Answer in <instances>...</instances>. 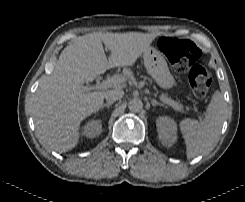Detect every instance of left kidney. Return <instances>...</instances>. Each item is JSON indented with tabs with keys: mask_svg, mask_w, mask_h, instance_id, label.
<instances>
[{
	"mask_svg": "<svg viewBox=\"0 0 245 202\" xmlns=\"http://www.w3.org/2000/svg\"><path fill=\"white\" fill-rule=\"evenodd\" d=\"M158 137L160 142L167 147L172 146L177 141V126L173 119L164 116L156 121Z\"/></svg>",
	"mask_w": 245,
	"mask_h": 202,
	"instance_id": "obj_1",
	"label": "left kidney"
}]
</instances>
